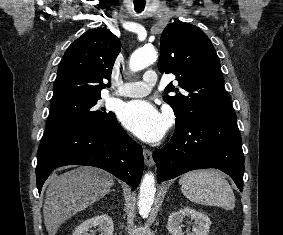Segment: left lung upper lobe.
<instances>
[{
	"label": "left lung upper lobe",
	"instance_id": "5c2ea615",
	"mask_svg": "<svg viewBox=\"0 0 283 235\" xmlns=\"http://www.w3.org/2000/svg\"><path fill=\"white\" fill-rule=\"evenodd\" d=\"M158 69L172 73L180 88L168 84L164 96L174 110L176 127L191 120L233 114L216 51L198 27L175 21L161 35Z\"/></svg>",
	"mask_w": 283,
	"mask_h": 235
}]
</instances>
